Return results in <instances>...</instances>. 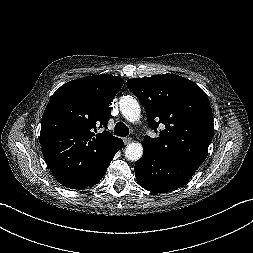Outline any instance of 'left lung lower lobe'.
Instances as JSON below:
<instances>
[{"label":"left lung lower lobe","mask_w":253,"mask_h":253,"mask_svg":"<svg viewBox=\"0 0 253 253\" xmlns=\"http://www.w3.org/2000/svg\"><path fill=\"white\" fill-rule=\"evenodd\" d=\"M143 148V156L135 163V176L138 184L151 192L166 193L184 186L201 165L196 161L168 164L147 146Z\"/></svg>","instance_id":"1"}]
</instances>
